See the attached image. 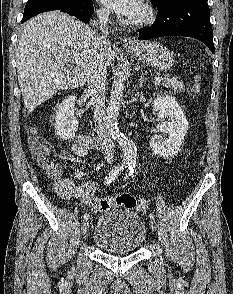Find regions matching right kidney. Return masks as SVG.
<instances>
[{
	"mask_svg": "<svg viewBox=\"0 0 233 294\" xmlns=\"http://www.w3.org/2000/svg\"><path fill=\"white\" fill-rule=\"evenodd\" d=\"M76 97L69 96L58 105L55 115V131L63 140L74 137L78 129V120L74 117V105Z\"/></svg>",
	"mask_w": 233,
	"mask_h": 294,
	"instance_id": "right-kidney-1",
	"label": "right kidney"
}]
</instances>
